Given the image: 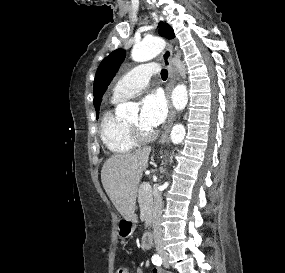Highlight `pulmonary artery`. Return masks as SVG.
<instances>
[{"instance_id":"pulmonary-artery-1","label":"pulmonary artery","mask_w":285,"mask_h":273,"mask_svg":"<svg viewBox=\"0 0 285 273\" xmlns=\"http://www.w3.org/2000/svg\"><path fill=\"white\" fill-rule=\"evenodd\" d=\"M158 71L156 63H144L132 68L114 86L112 101L117 102L136 95L148 85L151 76Z\"/></svg>"}]
</instances>
